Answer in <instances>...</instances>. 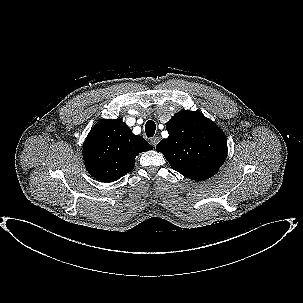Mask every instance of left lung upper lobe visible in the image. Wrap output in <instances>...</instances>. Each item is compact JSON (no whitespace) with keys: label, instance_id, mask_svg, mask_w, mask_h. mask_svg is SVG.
I'll return each mask as SVG.
<instances>
[{"label":"left lung upper lobe","instance_id":"1","mask_svg":"<svg viewBox=\"0 0 303 303\" xmlns=\"http://www.w3.org/2000/svg\"><path fill=\"white\" fill-rule=\"evenodd\" d=\"M167 139L156 150L173 170L201 181L215 175L227 157V140L221 129L203 114L182 110L167 123Z\"/></svg>","mask_w":303,"mask_h":303}]
</instances>
